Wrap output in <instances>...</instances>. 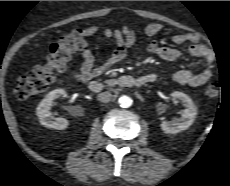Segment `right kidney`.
Returning <instances> with one entry per match:
<instances>
[{"instance_id": "obj_1", "label": "right kidney", "mask_w": 230, "mask_h": 186, "mask_svg": "<svg viewBox=\"0 0 230 186\" xmlns=\"http://www.w3.org/2000/svg\"><path fill=\"white\" fill-rule=\"evenodd\" d=\"M64 89H55L49 92L45 98L41 101L36 109V114L42 125L48 128L62 130L68 127L69 122L65 118H54L50 111L53 101L61 96H65Z\"/></svg>"}]
</instances>
